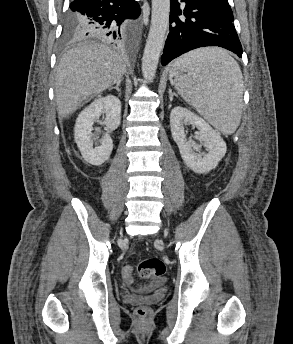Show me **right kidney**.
I'll list each match as a JSON object with an SVG mask.
<instances>
[{
    "label": "right kidney",
    "instance_id": "ca27d5eb",
    "mask_svg": "<svg viewBox=\"0 0 293 344\" xmlns=\"http://www.w3.org/2000/svg\"><path fill=\"white\" fill-rule=\"evenodd\" d=\"M102 114L106 115L103 124L110 130L117 129L121 121L120 100L113 95L95 99L81 111L74 130L75 142L83 158L95 166H100L107 161L113 150V141L108 134L103 137L100 146H93L91 139L93 124Z\"/></svg>",
    "mask_w": 293,
    "mask_h": 344
}]
</instances>
